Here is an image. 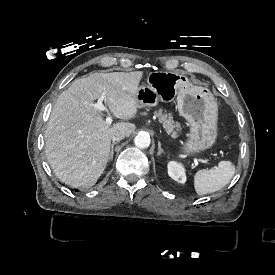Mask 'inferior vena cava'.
Instances as JSON below:
<instances>
[{"instance_id": "1", "label": "inferior vena cava", "mask_w": 275, "mask_h": 275, "mask_svg": "<svg viewBox=\"0 0 275 275\" xmlns=\"http://www.w3.org/2000/svg\"><path fill=\"white\" fill-rule=\"evenodd\" d=\"M126 136V132L123 130H116L112 136V141H120L122 139H124Z\"/></svg>"}]
</instances>
